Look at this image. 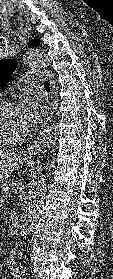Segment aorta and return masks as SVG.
Wrapping results in <instances>:
<instances>
[{
    "mask_svg": "<svg viewBox=\"0 0 113 279\" xmlns=\"http://www.w3.org/2000/svg\"><path fill=\"white\" fill-rule=\"evenodd\" d=\"M48 56L44 49L33 48L27 50L23 55V62L29 67L48 66ZM59 136V129L56 125L44 127L37 140V145L43 149H49L54 146ZM46 191L45 176L40 173L34 176L31 187L28 192V202L25 206L20 224V237L26 239L40 216Z\"/></svg>",
    "mask_w": 113,
    "mask_h": 279,
    "instance_id": "762f6f07",
    "label": "aorta"
}]
</instances>
